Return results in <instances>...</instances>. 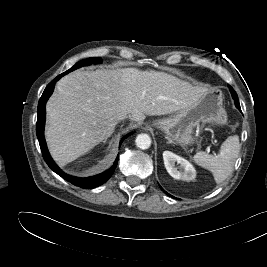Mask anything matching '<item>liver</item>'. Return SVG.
I'll use <instances>...</instances> for the list:
<instances>
[{"label":"liver","instance_id":"1","mask_svg":"<svg viewBox=\"0 0 267 267\" xmlns=\"http://www.w3.org/2000/svg\"><path fill=\"white\" fill-rule=\"evenodd\" d=\"M205 87L158 71L135 68L74 71L61 78L46 105L50 154L65 165L111 135L119 116L141 123L193 106Z\"/></svg>","mask_w":267,"mask_h":267}]
</instances>
